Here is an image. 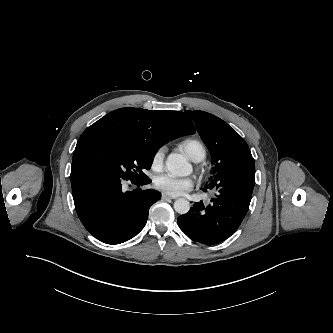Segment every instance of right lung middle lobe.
<instances>
[{"instance_id":"dd1d6c3e","label":"right lung middle lobe","mask_w":333,"mask_h":333,"mask_svg":"<svg viewBox=\"0 0 333 333\" xmlns=\"http://www.w3.org/2000/svg\"><path fill=\"white\" fill-rule=\"evenodd\" d=\"M157 150L133 140L94 136L78 141L73 158L96 162L124 179L141 180L148 178L143 171L151 167Z\"/></svg>"}]
</instances>
